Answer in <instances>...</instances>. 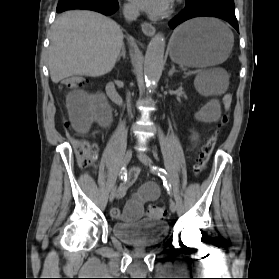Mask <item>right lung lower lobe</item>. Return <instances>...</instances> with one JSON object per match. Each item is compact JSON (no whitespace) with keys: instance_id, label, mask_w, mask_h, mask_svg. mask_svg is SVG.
I'll return each instance as SVG.
<instances>
[{"instance_id":"98d812e1","label":"right lung lower lobe","mask_w":279,"mask_h":279,"mask_svg":"<svg viewBox=\"0 0 279 279\" xmlns=\"http://www.w3.org/2000/svg\"><path fill=\"white\" fill-rule=\"evenodd\" d=\"M118 7L116 0H59L56 11L60 13L72 9H87L109 16L114 14Z\"/></svg>"}]
</instances>
